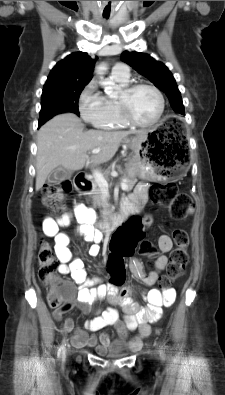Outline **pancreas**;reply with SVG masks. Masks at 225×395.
<instances>
[{
	"label": "pancreas",
	"mask_w": 225,
	"mask_h": 395,
	"mask_svg": "<svg viewBox=\"0 0 225 395\" xmlns=\"http://www.w3.org/2000/svg\"><path fill=\"white\" fill-rule=\"evenodd\" d=\"M122 182H125L128 185V188L126 191H130L133 189L134 185L137 183V178L124 176L122 179ZM90 195H92L93 205L95 207L96 206L101 207L103 205L102 191H101V188L98 186L97 182L95 181V179L92 180V190L90 192Z\"/></svg>",
	"instance_id": "1"
}]
</instances>
